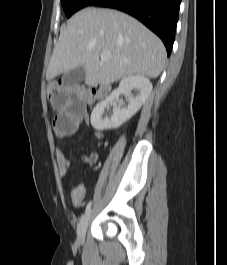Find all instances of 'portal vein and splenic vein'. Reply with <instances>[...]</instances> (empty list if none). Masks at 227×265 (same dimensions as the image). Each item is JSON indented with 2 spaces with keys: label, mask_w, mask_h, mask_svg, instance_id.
<instances>
[{
  "label": "portal vein and splenic vein",
  "mask_w": 227,
  "mask_h": 265,
  "mask_svg": "<svg viewBox=\"0 0 227 265\" xmlns=\"http://www.w3.org/2000/svg\"><path fill=\"white\" fill-rule=\"evenodd\" d=\"M111 57V54L109 52L103 51L101 52V60H106Z\"/></svg>",
  "instance_id": "18ae733b"
}]
</instances>
